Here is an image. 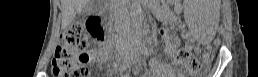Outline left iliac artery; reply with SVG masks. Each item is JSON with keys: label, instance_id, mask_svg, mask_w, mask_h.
<instances>
[{"label": "left iliac artery", "instance_id": "obj_1", "mask_svg": "<svg viewBox=\"0 0 258 77\" xmlns=\"http://www.w3.org/2000/svg\"><path fill=\"white\" fill-rule=\"evenodd\" d=\"M143 47V46H142ZM141 52L145 55V54H147V50L145 49V50H142L141 49Z\"/></svg>", "mask_w": 258, "mask_h": 77}]
</instances>
